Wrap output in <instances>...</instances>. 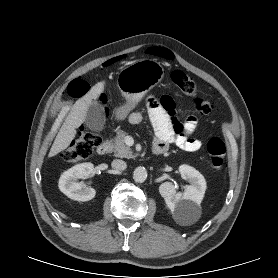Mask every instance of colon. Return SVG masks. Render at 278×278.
I'll return each mask as SVG.
<instances>
[{
    "instance_id": "colon-1",
    "label": "colon",
    "mask_w": 278,
    "mask_h": 278,
    "mask_svg": "<svg viewBox=\"0 0 278 278\" xmlns=\"http://www.w3.org/2000/svg\"><path fill=\"white\" fill-rule=\"evenodd\" d=\"M171 80L173 84L184 94L192 98L194 108L198 113L207 114L211 112L213 108L212 104L199 95L196 83L185 72L181 70H174L171 73ZM89 89V83L81 78H78L70 82L67 88V93L71 97L79 98L85 95ZM98 143L99 137L97 134L84 131L67 149L63 151L62 157L68 162H76L86 159L92 154ZM207 151L212 166L216 170H221L225 164L226 156V147L224 142L217 137L211 138L207 144Z\"/></svg>"
}]
</instances>
